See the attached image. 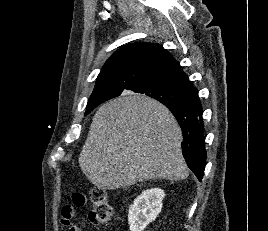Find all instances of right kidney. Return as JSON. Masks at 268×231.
I'll return each instance as SVG.
<instances>
[{
  "mask_svg": "<svg viewBox=\"0 0 268 231\" xmlns=\"http://www.w3.org/2000/svg\"><path fill=\"white\" fill-rule=\"evenodd\" d=\"M164 197L165 193L160 188L148 189L137 196L128 212L130 231H143L154 221L161 212Z\"/></svg>",
  "mask_w": 268,
  "mask_h": 231,
  "instance_id": "right-kidney-1",
  "label": "right kidney"
}]
</instances>
